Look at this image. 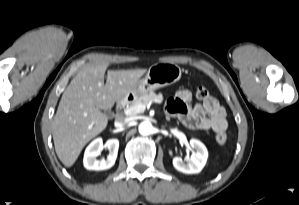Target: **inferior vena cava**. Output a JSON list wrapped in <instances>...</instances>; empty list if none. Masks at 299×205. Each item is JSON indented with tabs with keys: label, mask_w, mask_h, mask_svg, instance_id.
<instances>
[{
	"label": "inferior vena cava",
	"mask_w": 299,
	"mask_h": 205,
	"mask_svg": "<svg viewBox=\"0 0 299 205\" xmlns=\"http://www.w3.org/2000/svg\"><path fill=\"white\" fill-rule=\"evenodd\" d=\"M129 121L125 118L119 117L116 121H115V127L116 128H122L123 126H125Z\"/></svg>",
	"instance_id": "602c4592"
}]
</instances>
